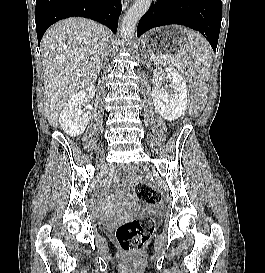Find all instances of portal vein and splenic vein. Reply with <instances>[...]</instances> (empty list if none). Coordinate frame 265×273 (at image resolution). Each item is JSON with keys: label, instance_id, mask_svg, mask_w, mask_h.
Wrapping results in <instances>:
<instances>
[{"label": "portal vein and splenic vein", "instance_id": "1", "mask_svg": "<svg viewBox=\"0 0 265 273\" xmlns=\"http://www.w3.org/2000/svg\"><path fill=\"white\" fill-rule=\"evenodd\" d=\"M166 59V60H169V61H173V59H172V57H170V56H167V55H163V56H161V57H158V59Z\"/></svg>", "mask_w": 265, "mask_h": 273}]
</instances>
